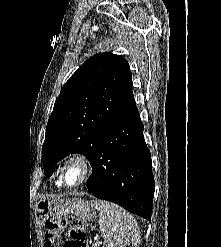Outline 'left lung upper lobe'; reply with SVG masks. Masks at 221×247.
<instances>
[{
    "label": "left lung upper lobe",
    "mask_w": 221,
    "mask_h": 247,
    "mask_svg": "<svg viewBox=\"0 0 221 247\" xmlns=\"http://www.w3.org/2000/svg\"><path fill=\"white\" fill-rule=\"evenodd\" d=\"M128 62L112 53H98L65 83L48 120L42 147L44 174L72 153L92 160L114 121L136 112Z\"/></svg>",
    "instance_id": "5c2ea615"
}]
</instances>
